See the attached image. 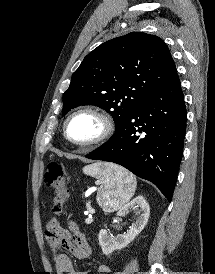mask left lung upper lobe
Masks as SVG:
<instances>
[{"label": "left lung upper lobe", "mask_w": 215, "mask_h": 274, "mask_svg": "<svg viewBox=\"0 0 215 274\" xmlns=\"http://www.w3.org/2000/svg\"><path fill=\"white\" fill-rule=\"evenodd\" d=\"M177 74L167 45L157 36L132 32L90 52L63 94V115L80 105L110 113L116 129L150 94Z\"/></svg>", "instance_id": "obj_1"}]
</instances>
